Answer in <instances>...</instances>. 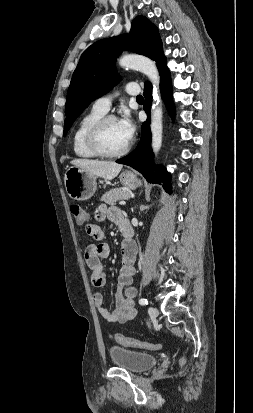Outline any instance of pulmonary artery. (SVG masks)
Here are the masks:
<instances>
[{"label": "pulmonary artery", "instance_id": "obj_1", "mask_svg": "<svg viewBox=\"0 0 253 413\" xmlns=\"http://www.w3.org/2000/svg\"><path fill=\"white\" fill-rule=\"evenodd\" d=\"M124 90L127 94L132 95V96H137L140 92L139 86L136 83L126 84ZM112 99H113L112 95L102 96L94 102L93 108L103 113H106L110 109Z\"/></svg>", "mask_w": 253, "mask_h": 413}]
</instances>
